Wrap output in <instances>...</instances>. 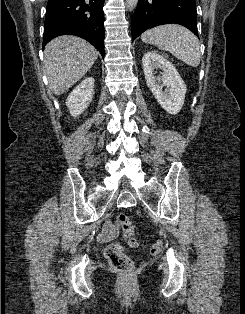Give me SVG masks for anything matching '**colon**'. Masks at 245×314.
Returning a JSON list of instances; mask_svg holds the SVG:
<instances>
[{"label":"colon","mask_w":245,"mask_h":314,"mask_svg":"<svg viewBox=\"0 0 245 314\" xmlns=\"http://www.w3.org/2000/svg\"><path fill=\"white\" fill-rule=\"evenodd\" d=\"M116 222L122 229L124 237L128 240L132 247L138 246V241L134 235V228L130 218L125 213H119L116 216ZM162 244L156 242L149 248L150 254L154 255L160 252ZM105 256L110 265L117 271L129 273L133 270V262L131 258L125 253L124 247L119 243H111L105 251Z\"/></svg>","instance_id":"1"}]
</instances>
